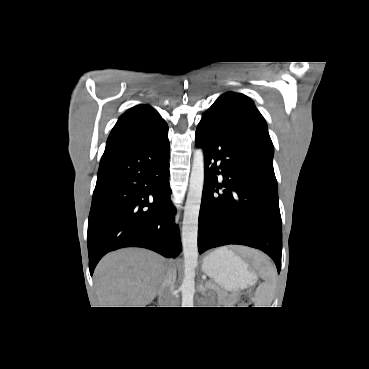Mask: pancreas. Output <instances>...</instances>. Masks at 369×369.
<instances>
[{"label":"pancreas","instance_id":"1","mask_svg":"<svg viewBox=\"0 0 369 369\" xmlns=\"http://www.w3.org/2000/svg\"><path fill=\"white\" fill-rule=\"evenodd\" d=\"M206 287L209 290H213L215 291L218 296H220V298L222 300L227 301L228 305H233L236 302L235 296H231L230 299H226L227 293L224 290H221L215 283H213L212 281H208L206 282Z\"/></svg>","mask_w":369,"mask_h":369}]
</instances>
